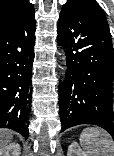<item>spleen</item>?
I'll use <instances>...</instances> for the list:
<instances>
[{
    "mask_svg": "<svg viewBox=\"0 0 114 156\" xmlns=\"http://www.w3.org/2000/svg\"><path fill=\"white\" fill-rule=\"evenodd\" d=\"M79 140L86 156H112L114 152L112 138L101 128H85Z\"/></svg>",
    "mask_w": 114,
    "mask_h": 156,
    "instance_id": "1",
    "label": "spleen"
}]
</instances>
